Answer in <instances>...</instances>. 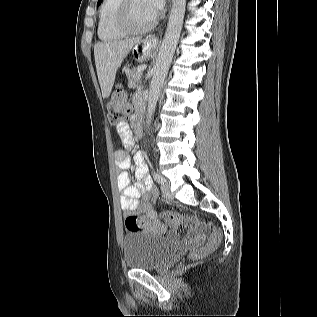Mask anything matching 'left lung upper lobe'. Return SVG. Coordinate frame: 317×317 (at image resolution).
I'll list each match as a JSON object with an SVG mask.
<instances>
[{
  "instance_id": "obj_1",
  "label": "left lung upper lobe",
  "mask_w": 317,
  "mask_h": 317,
  "mask_svg": "<svg viewBox=\"0 0 317 317\" xmlns=\"http://www.w3.org/2000/svg\"><path fill=\"white\" fill-rule=\"evenodd\" d=\"M102 1H103V0H98L97 6H99Z\"/></svg>"
}]
</instances>
